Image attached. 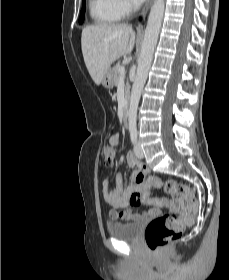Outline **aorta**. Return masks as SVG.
Returning a JSON list of instances; mask_svg holds the SVG:
<instances>
[{
    "mask_svg": "<svg viewBox=\"0 0 229 280\" xmlns=\"http://www.w3.org/2000/svg\"><path fill=\"white\" fill-rule=\"evenodd\" d=\"M164 9V0H155L148 17L144 39L141 46V53L138 59L137 74L132 86L130 97L128 111V122L130 131H136L137 128L136 124L138 104L144 84L148 77V71L153 60L154 50L157 45L164 16Z\"/></svg>",
    "mask_w": 229,
    "mask_h": 280,
    "instance_id": "obj_1",
    "label": "aorta"
}]
</instances>
